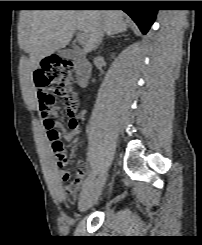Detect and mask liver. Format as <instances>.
<instances>
[{
  "label": "liver",
  "instance_id": "6515ba94",
  "mask_svg": "<svg viewBox=\"0 0 202 245\" xmlns=\"http://www.w3.org/2000/svg\"><path fill=\"white\" fill-rule=\"evenodd\" d=\"M128 20L117 10H35L22 32L20 46L29 53L32 69L64 48L76 30L85 33L84 53L96 45L99 30L114 35L127 30Z\"/></svg>",
  "mask_w": 202,
  "mask_h": 245
}]
</instances>
